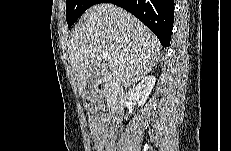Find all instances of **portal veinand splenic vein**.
Returning a JSON list of instances; mask_svg holds the SVG:
<instances>
[{
  "label": "portal vein and splenic vein",
  "mask_w": 231,
  "mask_h": 151,
  "mask_svg": "<svg viewBox=\"0 0 231 151\" xmlns=\"http://www.w3.org/2000/svg\"><path fill=\"white\" fill-rule=\"evenodd\" d=\"M101 57H102L105 61H107L109 64H116L115 61H114L113 59H111V58L108 57V54H107V52H105V51H102V52H101Z\"/></svg>",
  "instance_id": "18ae733b"
}]
</instances>
